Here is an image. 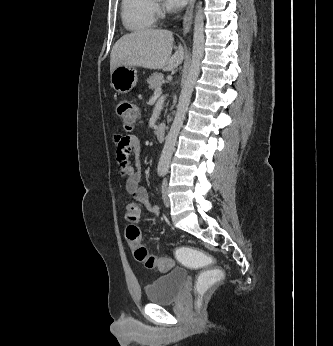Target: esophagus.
I'll list each match as a JSON object with an SVG mask.
<instances>
[{"label": "esophagus", "instance_id": "obj_1", "mask_svg": "<svg viewBox=\"0 0 333 346\" xmlns=\"http://www.w3.org/2000/svg\"><path fill=\"white\" fill-rule=\"evenodd\" d=\"M195 0H190L187 10L183 17V35H187L190 31L192 20H193V10H194Z\"/></svg>", "mask_w": 333, "mask_h": 346}]
</instances>
